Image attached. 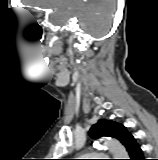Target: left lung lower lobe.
<instances>
[{
    "instance_id": "1",
    "label": "left lung lower lobe",
    "mask_w": 158,
    "mask_h": 160,
    "mask_svg": "<svg viewBox=\"0 0 158 160\" xmlns=\"http://www.w3.org/2000/svg\"><path fill=\"white\" fill-rule=\"evenodd\" d=\"M123 145L128 152L129 160H145L140 145L131 134L128 135Z\"/></svg>"
}]
</instances>
